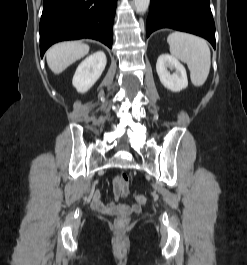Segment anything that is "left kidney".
<instances>
[{
    "label": "left kidney",
    "mask_w": 247,
    "mask_h": 265,
    "mask_svg": "<svg viewBox=\"0 0 247 265\" xmlns=\"http://www.w3.org/2000/svg\"><path fill=\"white\" fill-rule=\"evenodd\" d=\"M167 68L175 69L171 74ZM156 71L160 82L172 92H179L188 86L187 74L184 66L173 56L162 54L158 57Z\"/></svg>",
    "instance_id": "left-kidney-1"
}]
</instances>
